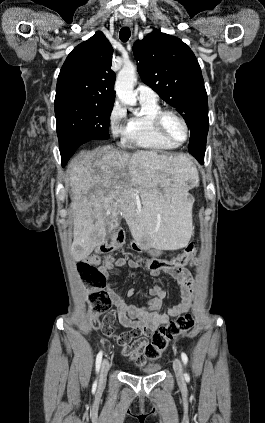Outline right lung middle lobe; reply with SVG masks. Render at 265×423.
<instances>
[{
	"instance_id": "obj_1",
	"label": "right lung middle lobe",
	"mask_w": 265,
	"mask_h": 423,
	"mask_svg": "<svg viewBox=\"0 0 265 423\" xmlns=\"http://www.w3.org/2000/svg\"><path fill=\"white\" fill-rule=\"evenodd\" d=\"M54 105L63 166L74 154L67 145L73 137L80 136L87 141L109 139L108 128L113 105L81 99L57 100Z\"/></svg>"
}]
</instances>
